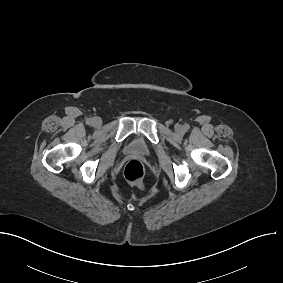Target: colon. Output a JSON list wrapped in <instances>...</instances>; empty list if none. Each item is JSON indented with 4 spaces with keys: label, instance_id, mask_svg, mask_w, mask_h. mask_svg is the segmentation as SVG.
I'll list each match as a JSON object with an SVG mask.
<instances>
[{
    "label": "colon",
    "instance_id": "5ec220e1",
    "mask_svg": "<svg viewBox=\"0 0 283 283\" xmlns=\"http://www.w3.org/2000/svg\"><path fill=\"white\" fill-rule=\"evenodd\" d=\"M144 174V166L138 160L129 161L124 168L125 179L131 184H134L139 187H141L143 184Z\"/></svg>",
    "mask_w": 283,
    "mask_h": 283
}]
</instances>
